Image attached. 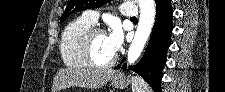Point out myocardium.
Instances as JSON below:
<instances>
[{"label":"myocardium","instance_id":"1","mask_svg":"<svg viewBox=\"0 0 225 92\" xmlns=\"http://www.w3.org/2000/svg\"><path fill=\"white\" fill-rule=\"evenodd\" d=\"M98 33H105V30L99 26H92L91 28H89L82 36L81 40H80V51L81 54L83 56V59L85 61V63L94 69H107L112 67L116 60L117 57L116 55H114V57L107 63L104 64H99L97 63L93 56H92V43H93V39L95 37L96 34Z\"/></svg>","mask_w":225,"mask_h":92}]
</instances>
